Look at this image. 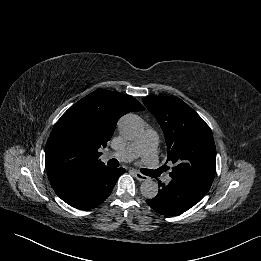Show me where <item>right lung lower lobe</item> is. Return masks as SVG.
<instances>
[{"label":"right lung lower lobe","mask_w":261,"mask_h":261,"mask_svg":"<svg viewBox=\"0 0 261 261\" xmlns=\"http://www.w3.org/2000/svg\"><path fill=\"white\" fill-rule=\"evenodd\" d=\"M125 169L103 167L86 176L55 188L56 194L70 206L90 210L101 204L111 193Z\"/></svg>","instance_id":"98d812e1"}]
</instances>
